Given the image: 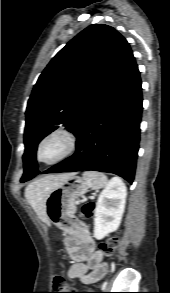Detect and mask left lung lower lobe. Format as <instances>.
Segmentation results:
<instances>
[{
	"label": "left lung lower lobe",
	"mask_w": 170,
	"mask_h": 293,
	"mask_svg": "<svg viewBox=\"0 0 170 293\" xmlns=\"http://www.w3.org/2000/svg\"><path fill=\"white\" fill-rule=\"evenodd\" d=\"M142 109L141 80L132 54L77 134L75 154L43 173L95 170L132 183Z\"/></svg>",
	"instance_id": "left-lung-lower-lobe-1"
}]
</instances>
